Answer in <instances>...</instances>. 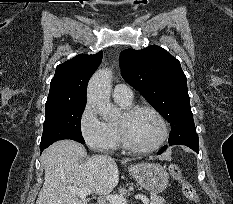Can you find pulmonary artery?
<instances>
[{
	"mask_svg": "<svg viewBox=\"0 0 233 204\" xmlns=\"http://www.w3.org/2000/svg\"><path fill=\"white\" fill-rule=\"evenodd\" d=\"M113 98L118 103L132 102L133 93L129 86L117 84L113 89Z\"/></svg>",
	"mask_w": 233,
	"mask_h": 204,
	"instance_id": "1",
	"label": "pulmonary artery"
}]
</instances>
